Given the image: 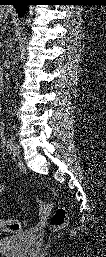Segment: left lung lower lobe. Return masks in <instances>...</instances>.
Masks as SVG:
<instances>
[{
	"label": "left lung lower lobe",
	"instance_id": "left-lung-lower-lobe-1",
	"mask_svg": "<svg viewBox=\"0 0 106 257\" xmlns=\"http://www.w3.org/2000/svg\"><path fill=\"white\" fill-rule=\"evenodd\" d=\"M10 2H11V5H13L15 7L18 14L21 15L24 10V8H22V6L26 5V4H23V2H25V1L24 0H11Z\"/></svg>",
	"mask_w": 106,
	"mask_h": 257
}]
</instances>
